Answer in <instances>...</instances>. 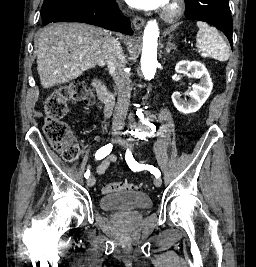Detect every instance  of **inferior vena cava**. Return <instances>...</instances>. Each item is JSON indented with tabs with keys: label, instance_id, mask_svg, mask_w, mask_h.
<instances>
[{
	"label": "inferior vena cava",
	"instance_id": "1",
	"mask_svg": "<svg viewBox=\"0 0 256 267\" xmlns=\"http://www.w3.org/2000/svg\"><path fill=\"white\" fill-rule=\"evenodd\" d=\"M102 50L107 68L109 72H112L118 90V102L113 114V128H119V126L123 128L130 106V74L126 72V62L119 42L109 40L105 46H102Z\"/></svg>",
	"mask_w": 256,
	"mask_h": 267
}]
</instances>
